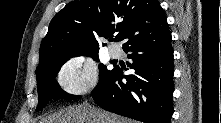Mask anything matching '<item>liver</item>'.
<instances>
[{
  "label": "liver",
  "mask_w": 221,
  "mask_h": 123,
  "mask_svg": "<svg viewBox=\"0 0 221 123\" xmlns=\"http://www.w3.org/2000/svg\"><path fill=\"white\" fill-rule=\"evenodd\" d=\"M42 123H132L89 104L66 108L50 115Z\"/></svg>",
  "instance_id": "6515ba94"
}]
</instances>
